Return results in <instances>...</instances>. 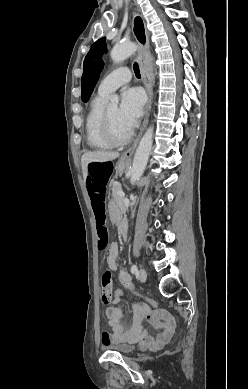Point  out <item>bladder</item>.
Segmentation results:
<instances>
[{"label": "bladder", "instance_id": "obj_1", "mask_svg": "<svg viewBox=\"0 0 248 389\" xmlns=\"http://www.w3.org/2000/svg\"><path fill=\"white\" fill-rule=\"evenodd\" d=\"M104 348L124 355L131 354L135 349L133 345L125 344L120 341H114L111 344H106L104 345Z\"/></svg>", "mask_w": 248, "mask_h": 389}]
</instances>
